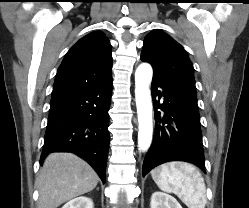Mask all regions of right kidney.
I'll return each instance as SVG.
<instances>
[{
    "mask_svg": "<svg viewBox=\"0 0 249 208\" xmlns=\"http://www.w3.org/2000/svg\"><path fill=\"white\" fill-rule=\"evenodd\" d=\"M62 208H93V201L81 196L70 200Z\"/></svg>",
    "mask_w": 249,
    "mask_h": 208,
    "instance_id": "obj_1",
    "label": "right kidney"
}]
</instances>
